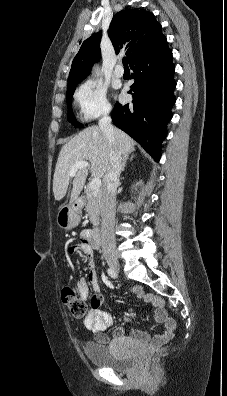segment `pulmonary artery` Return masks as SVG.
<instances>
[{
	"label": "pulmonary artery",
	"mask_w": 227,
	"mask_h": 396,
	"mask_svg": "<svg viewBox=\"0 0 227 396\" xmlns=\"http://www.w3.org/2000/svg\"><path fill=\"white\" fill-rule=\"evenodd\" d=\"M114 74L116 77H122L124 75V69L121 65L116 66L114 70Z\"/></svg>",
	"instance_id": "1"
}]
</instances>
